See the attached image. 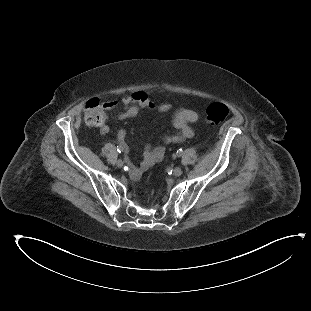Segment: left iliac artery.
Here are the masks:
<instances>
[{
  "label": "left iliac artery",
  "mask_w": 311,
  "mask_h": 311,
  "mask_svg": "<svg viewBox=\"0 0 311 311\" xmlns=\"http://www.w3.org/2000/svg\"><path fill=\"white\" fill-rule=\"evenodd\" d=\"M182 153H183V150H182V149H179V150L177 151V156H181Z\"/></svg>",
  "instance_id": "obj_1"
}]
</instances>
